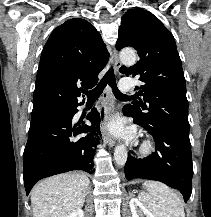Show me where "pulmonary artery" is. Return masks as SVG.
Wrapping results in <instances>:
<instances>
[{
  "instance_id": "1",
  "label": "pulmonary artery",
  "mask_w": 211,
  "mask_h": 217,
  "mask_svg": "<svg viewBox=\"0 0 211 217\" xmlns=\"http://www.w3.org/2000/svg\"><path fill=\"white\" fill-rule=\"evenodd\" d=\"M119 88L123 93H128L132 91L133 84L132 81L128 78H123L119 82Z\"/></svg>"
}]
</instances>
